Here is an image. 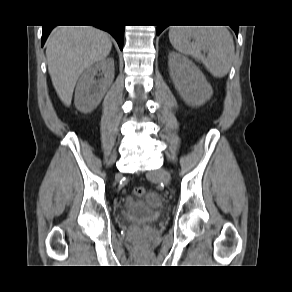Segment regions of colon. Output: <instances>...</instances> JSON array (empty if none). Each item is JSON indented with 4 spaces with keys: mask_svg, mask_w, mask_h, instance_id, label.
Instances as JSON below:
<instances>
[{
    "mask_svg": "<svg viewBox=\"0 0 292 292\" xmlns=\"http://www.w3.org/2000/svg\"><path fill=\"white\" fill-rule=\"evenodd\" d=\"M133 193L137 197H142L143 195H145L146 190L144 187H135Z\"/></svg>",
    "mask_w": 292,
    "mask_h": 292,
    "instance_id": "5ec220e1",
    "label": "colon"
}]
</instances>
